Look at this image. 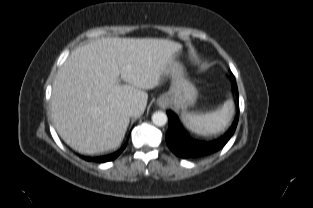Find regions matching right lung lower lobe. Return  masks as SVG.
Masks as SVG:
<instances>
[{
  "label": "right lung lower lobe",
  "mask_w": 313,
  "mask_h": 208,
  "mask_svg": "<svg viewBox=\"0 0 313 208\" xmlns=\"http://www.w3.org/2000/svg\"><path fill=\"white\" fill-rule=\"evenodd\" d=\"M123 151V149L119 150L118 152L109 155V156H105V157H97V158H90V157H83V159L87 160V161H96V162H106V161H111L114 160L121 152Z\"/></svg>",
  "instance_id": "obj_1"
}]
</instances>
